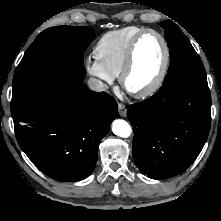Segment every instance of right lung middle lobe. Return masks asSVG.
<instances>
[{
    "label": "right lung middle lobe",
    "instance_id": "dd1d6c3e",
    "mask_svg": "<svg viewBox=\"0 0 221 221\" xmlns=\"http://www.w3.org/2000/svg\"><path fill=\"white\" fill-rule=\"evenodd\" d=\"M94 39V32L83 26H57L41 32L15 70L12 114L66 86V75L84 78L83 53Z\"/></svg>",
    "mask_w": 221,
    "mask_h": 221
}]
</instances>
